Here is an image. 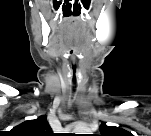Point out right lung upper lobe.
<instances>
[{
  "label": "right lung upper lobe",
  "instance_id": "obj_1",
  "mask_svg": "<svg viewBox=\"0 0 151 136\" xmlns=\"http://www.w3.org/2000/svg\"><path fill=\"white\" fill-rule=\"evenodd\" d=\"M12 133L18 136H51V127L46 116H40L34 120H27L12 129Z\"/></svg>",
  "mask_w": 151,
  "mask_h": 136
}]
</instances>
